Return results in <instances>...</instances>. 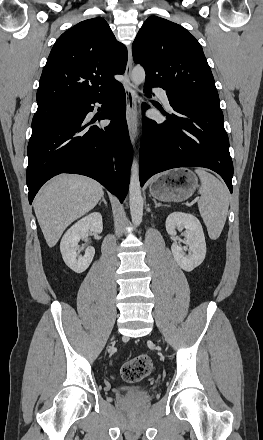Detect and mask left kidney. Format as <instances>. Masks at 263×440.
Masks as SVG:
<instances>
[{
    "instance_id": "1",
    "label": "left kidney",
    "mask_w": 263,
    "mask_h": 440,
    "mask_svg": "<svg viewBox=\"0 0 263 440\" xmlns=\"http://www.w3.org/2000/svg\"><path fill=\"white\" fill-rule=\"evenodd\" d=\"M166 231L171 236H176V229H185V243L187 247L182 248L175 241L172 246V254L177 264L187 272L198 267L206 255L205 236L200 221L192 214L173 212L166 219ZM189 251L185 255V251Z\"/></svg>"
}]
</instances>
